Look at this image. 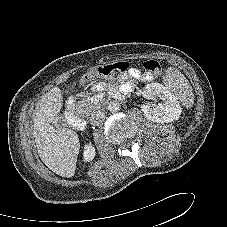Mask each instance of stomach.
<instances>
[{
  "mask_svg": "<svg viewBox=\"0 0 227 227\" xmlns=\"http://www.w3.org/2000/svg\"><path fill=\"white\" fill-rule=\"evenodd\" d=\"M95 73H96L97 75H102V74L98 71V68L95 69Z\"/></svg>",
  "mask_w": 227,
  "mask_h": 227,
  "instance_id": "0dacf381",
  "label": "stomach"
}]
</instances>
